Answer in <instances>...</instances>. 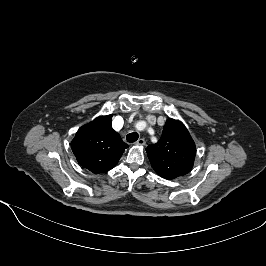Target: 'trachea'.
Here are the masks:
<instances>
[{"mask_svg":"<svg viewBox=\"0 0 266 266\" xmlns=\"http://www.w3.org/2000/svg\"><path fill=\"white\" fill-rule=\"evenodd\" d=\"M139 135L138 133L136 132H132V133H129L127 136H126V140L129 142V143H133L135 141H137Z\"/></svg>","mask_w":266,"mask_h":266,"instance_id":"trachea-1","label":"trachea"}]
</instances>
